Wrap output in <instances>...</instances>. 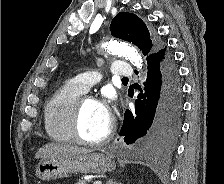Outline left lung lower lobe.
Here are the masks:
<instances>
[{
    "mask_svg": "<svg viewBox=\"0 0 224 184\" xmlns=\"http://www.w3.org/2000/svg\"><path fill=\"white\" fill-rule=\"evenodd\" d=\"M147 65L146 93L139 94L136 100L137 116L126 110L119 134L124 136L127 145L167 152L172 149L180 130L181 85L178 71L171 52L166 48L150 55Z\"/></svg>",
    "mask_w": 224,
    "mask_h": 184,
    "instance_id": "obj_1",
    "label": "left lung lower lobe"
}]
</instances>
